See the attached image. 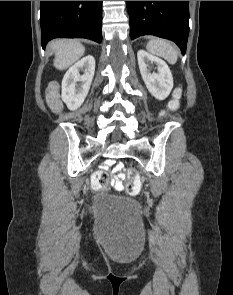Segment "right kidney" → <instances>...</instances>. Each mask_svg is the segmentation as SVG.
I'll list each match as a JSON object with an SVG mask.
<instances>
[{
	"instance_id": "right-kidney-1",
	"label": "right kidney",
	"mask_w": 233,
	"mask_h": 295,
	"mask_svg": "<svg viewBox=\"0 0 233 295\" xmlns=\"http://www.w3.org/2000/svg\"><path fill=\"white\" fill-rule=\"evenodd\" d=\"M84 71L80 75V71ZM95 59L88 55L69 68L62 80L61 98L70 110L78 109L84 102L94 76Z\"/></svg>"
}]
</instances>
